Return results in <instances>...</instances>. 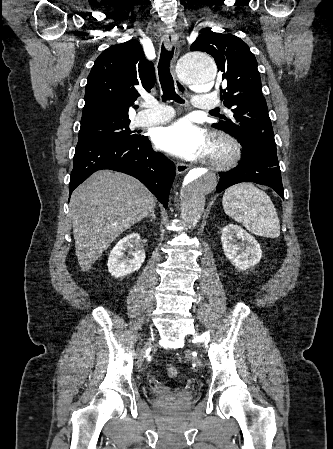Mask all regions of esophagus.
<instances>
[{
    "label": "esophagus",
    "instance_id": "34e87169",
    "mask_svg": "<svg viewBox=\"0 0 333 449\" xmlns=\"http://www.w3.org/2000/svg\"><path fill=\"white\" fill-rule=\"evenodd\" d=\"M164 42H165V45H166L167 48L171 49L172 47H175V49H176V47H177V36L175 35L174 32H168V33H166L164 35ZM176 58H177V51H176V53L174 55L173 62L176 61ZM176 86H177V89L181 93H186V91H187L186 87L178 79H176ZM188 169H189V166L187 164L177 163V165H176V172H177V174H183Z\"/></svg>",
    "mask_w": 333,
    "mask_h": 449
}]
</instances>
